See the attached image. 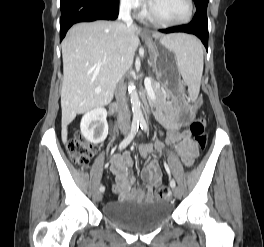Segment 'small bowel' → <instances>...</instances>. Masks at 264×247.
Returning <instances> with one entry per match:
<instances>
[{
	"label": "small bowel",
	"mask_w": 264,
	"mask_h": 247,
	"mask_svg": "<svg viewBox=\"0 0 264 247\" xmlns=\"http://www.w3.org/2000/svg\"><path fill=\"white\" fill-rule=\"evenodd\" d=\"M157 115L160 122L168 129L165 140L141 146L139 149L141 156H147L153 149L161 150L168 144H174L183 164L190 167L197 156V145L190 138L187 131L180 130L178 121L168 117L161 111H159ZM131 167L132 159L128 153L117 154L113 157L111 170L116 180L113 192L118 194L121 199H126L130 196L147 200L153 199L154 190L159 185L162 178L158 163L152 161L142 171V178L147 182L145 191L139 189L131 191V186L134 183V178L129 173Z\"/></svg>",
	"instance_id": "small-bowel-1"
}]
</instances>
